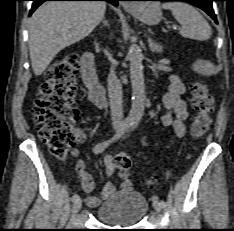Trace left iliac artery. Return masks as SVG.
I'll return each instance as SVG.
<instances>
[{"mask_svg": "<svg viewBox=\"0 0 234 231\" xmlns=\"http://www.w3.org/2000/svg\"><path fill=\"white\" fill-rule=\"evenodd\" d=\"M137 124H138V121H134L131 130H133L137 126ZM159 204H160V206L162 208L165 207V205H166L165 202H164V200H160Z\"/></svg>", "mask_w": 234, "mask_h": 231, "instance_id": "obj_1", "label": "left iliac artery"}]
</instances>
